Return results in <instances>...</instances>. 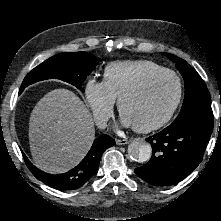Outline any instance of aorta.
<instances>
[{"instance_id":"aorta-1","label":"aorta","mask_w":221,"mask_h":221,"mask_svg":"<svg viewBox=\"0 0 221 221\" xmlns=\"http://www.w3.org/2000/svg\"><path fill=\"white\" fill-rule=\"evenodd\" d=\"M127 152L133 161L144 163L150 160L152 147L144 140H135L128 145Z\"/></svg>"}]
</instances>
